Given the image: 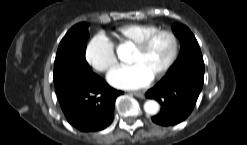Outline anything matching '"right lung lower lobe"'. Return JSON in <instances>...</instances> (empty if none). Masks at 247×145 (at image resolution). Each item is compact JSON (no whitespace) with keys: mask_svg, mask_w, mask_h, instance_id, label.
I'll return each mask as SVG.
<instances>
[{"mask_svg":"<svg viewBox=\"0 0 247 145\" xmlns=\"http://www.w3.org/2000/svg\"><path fill=\"white\" fill-rule=\"evenodd\" d=\"M55 91L68 122L80 131H98L113 120L116 98L111 88L92 71L75 69L54 78Z\"/></svg>","mask_w":247,"mask_h":145,"instance_id":"obj_1","label":"right lung lower lobe"}]
</instances>
